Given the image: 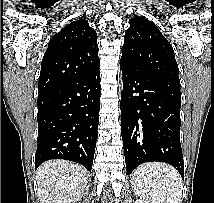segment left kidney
I'll return each instance as SVG.
<instances>
[{"label": "left kidney", "mask_w": 214, "mask_h": 203, "mask_svg": "<svg viewBox=\"0 0 214 203\" xmlns=\"http://www.w3.org/2000/svg\"><path fill=\"white\" fill-rule=\"evenodd\" d=\"M135 203H147V202L143 200H136Z\"/></svg>", "instance_id": "left-kidney-1"}]
</instances>
